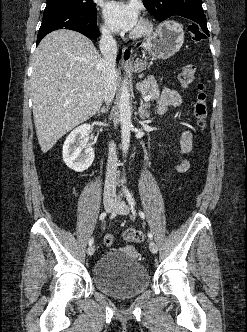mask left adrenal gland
I'll return each instance as SVG.
<instances>
[{
    "instance_id": "a2214340",
    "label": "left adrenal gland",
    "mask_w": 247,
    "mask_h": 332,
    "mask_svg": "<svg viewBox=\"0 0 247 332\" xmlns=\"http://www.w3.org/2000/svg\"><path fill=\"white\" fill-rule=\"evenodd\" d=\"M149 108V104L148 103H144L142 99H140V106L138 109V113L139 116L142 119L148 118L149 117V113L147 111V109Z\"/></svg>"
}]
</instances>
